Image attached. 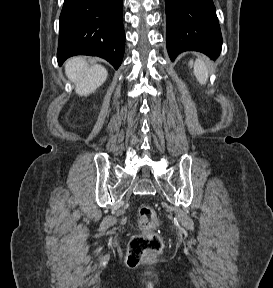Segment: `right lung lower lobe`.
<instances>
[{"label":"right lung lower lobe","instance_id":"right-lung-lower-lobe-1","mask_svg":"<svg viewBox=\"0 0 273 288\" xmlns=\"http://www.w3.org/2000/svg\"><path fill=\"white\" fill-rule=\"evenodd\" d=\"M123 0H65L60 14L58 64L74 55L99 56L115 69L125 49Z\"/></svg>","mask_w":273,"mask_h":288}]
</instances>
